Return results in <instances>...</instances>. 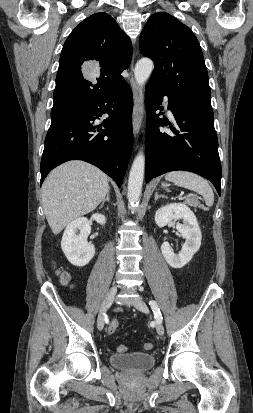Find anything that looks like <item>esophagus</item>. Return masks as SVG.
<instances>
[{
  "label": "esophagus",
  "mask_w": 253,
  "mask_h": 413,
  "mask_svg": "<svg viewBox=\"0 0 253 413\" xmlns=\"http://www.w3.org/2000/svg\"><path fill=\"white\" fill-rule=\"evenodd\" d=\"M133 64H134V59L132 61V66H131L132 70H133ZM129 80H130V84H131L133 95H134V107H133V113H132L133 133L135 136H137L140 130V126H141L142 97H141L139 87L137 86L133 78L132 71H131Z\"/></svg>",
  "instance_id": "1"
}]
</instances>
